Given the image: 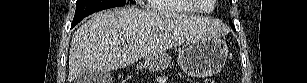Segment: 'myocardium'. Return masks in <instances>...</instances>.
Returning <instances> with one entry per match:
<instances>
[{
  "label": "myocardium",
  "mask_w": 307,
  "mask_h": 83,
  "mask_svg": "<svg viewBox=\"0 0 307 83\" xmlns=\"http://www.w3.org/2000/svg\"><path fill=\"white\" fill-rule=\"evenodd\" d=\"M186 1L189 2L190 4H192L196 11L198 10L201 13H205V14L210 13L214 8V5H211V7L208 10H203L200 7L198 1H196V0H186Z\"/></svg>",
  "instance_id": "f54148a6"
}]
</instances>
